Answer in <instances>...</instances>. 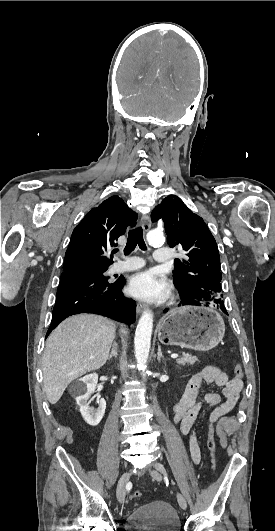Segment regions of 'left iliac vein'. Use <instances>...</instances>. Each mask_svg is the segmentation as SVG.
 <instances>
[{
  "instance_id": "1",
  "label": "left iliac vein",
  "mask_w": 275,
  "mask_h": 531,
  "mask_svg": "<svg viewBox=\"0 0 275 531\" xmlns=\"http://www.w3.org/2000/svg\"><path fill=\"white\" fill-rule=\"evenodd\" d=\"M154 468L155 469L151 471V476L156 481L160 482L162 480V474L166 475V470H165L164 466L161 463H159V462H155L154 463ZM177 500H178V503H179V505H180V507L182 509H186L187 508V501H186L185 497L181 493H177Z\"/></svg>"
}]
</instances>
